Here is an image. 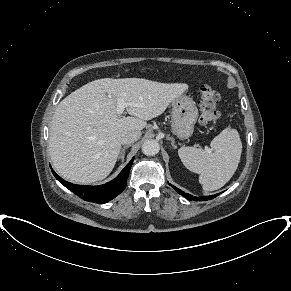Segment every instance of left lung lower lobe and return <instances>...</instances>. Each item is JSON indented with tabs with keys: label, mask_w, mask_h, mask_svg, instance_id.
Segmentation results:
<instances>
[{
	"label": "left lung lower lobe",
	"mask_w": 291,
	"mask_h": 291,
	"mask_svg": "<svg viewBox=\"0 0 291 291\" xmlns=\"http://www.w3.org/2000/svg\"><path fill=\"white\" fill-rule=\"evenodd\" d=\"M171 185V184H170ZM179 194H181L183 197L187 198L188 200H193V201H207L209 199L215 198L219 194L215 195H210V196H205V197H194L193 195L186 194L182 190L178 189L177 187L171 185Z\"/></svg>",
	"instance_id": "left-lung-lower-lobe-1"
}]
</instances>
